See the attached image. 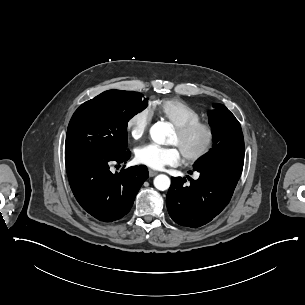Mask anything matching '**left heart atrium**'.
<instances>
[{"instance_id":"obj_1","label":"left heart atrium","mask_w":305,"mask_h":305,"mask_svg":"<svg viewBox=\"0 0 305 305\" xmlns=\"http://www.w3.org/2000/svg\"><path fill=\"white\" fill-rule=\"evenodd\" d=\"M180 157L181 153L176 145L160 146L155 143H147L138 146L135 150L137 162L154 169L176 164Z\"/></svg>"}]
</instances>
